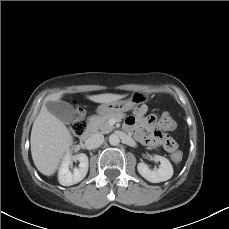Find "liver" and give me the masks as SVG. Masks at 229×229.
I'll list each match as a JSON object with an SVG mask.
<instances>
[{
  "mask_svg": "<svg viewBox=\"0 0 229 229\" xmlns=\"http://www.w3.org/2000/svg\"><path fill=\"white\" fill-rule=\"evenodd\" d=\"M63 91L45 97L41 110L36 117L30 137L31 155L36 168L44 175H53L60 162L73 145V137L64 122L58 119L45 105L50 101H59ZM120 94L88 95L87 98L96 103H111L124 98Z\"/></svg>",
  "mask_w": 229,
  "mask_h": 229,
  "instance_id": "liver-1",
  "label": "liver"
}]
</instances>
